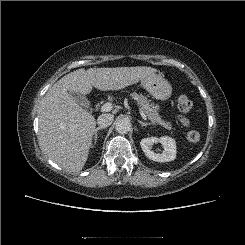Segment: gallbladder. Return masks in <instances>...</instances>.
I'll use <instances>...</instances> for the list:
<instances>
[{
  "label": "gallbladder",
  "instance_id": "1",
  "mask_svg": "<svg viewBox=\"0 0 245 245\" xmlns=\"http://www.w3.org/2000/svg\"><path fill=\"white\" fill-rule=\"evenodd\" d=\"M69 94L77 102V104H79L80 106L84 108H89V105H90L89 100L86 98L85 95L75 93V92H69Z\"/></svg>",
  "mask_w": 245,
  "mask_h": 245
}]
</instances>
